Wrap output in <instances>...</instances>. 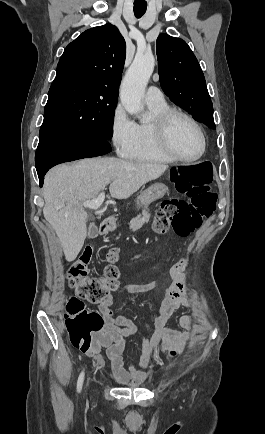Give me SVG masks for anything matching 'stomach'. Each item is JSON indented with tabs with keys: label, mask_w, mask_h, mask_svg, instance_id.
Here are the masks:
<instances>
[{
	"label": "stomach",
	"mask_w": 265,
	"mask_h": 434,
	"mask_svg": "<svg viewBox=\"0 0 265 434\" xmlns=\"http://www.w3.org/2000/svg\"><path fill=\"white\" fill-rule=\"evenodd\" d=\"M166 192H168V188L165 184H153V186H149L147 190H144L141 196H138L137 204L138 206H149L151 202L163 198Z\"/></svg>",
	"instance_id": "stomach-1"
}]
</instances>
